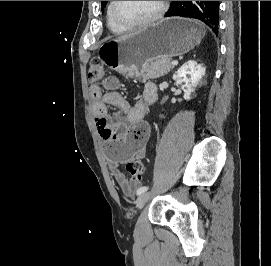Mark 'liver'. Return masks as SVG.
Returning a JSON list of instances; mask_svg holds the SVG:
<instances>
[{
    "instance_id": "obj_1",
    "label": "liver",
    "mask_w": 271,
    "mask_h": 266,
    "mask_svg": "<svg viewBox=\"0 0 271 266\" xmlns=\"http://www.w3.org/2000/svg\"><path fill=\"white\" fill-rule=\"evenodd\" d=\"M135 33H136V32H135ZM135 33L128 34V35H125V36H121V37L117 38L116 40L128 38V37L132 36V35L135 34Z\"/></svg>"
}]
</instances>
